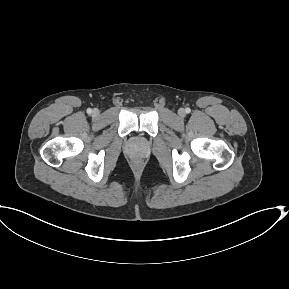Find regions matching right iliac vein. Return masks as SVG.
Listing matches in <instances>:
<instances>
[{
    "mask_svg": "<svg viewBox=\"0 0 289 289\" xmlns=\"http://www.w3.org/2000/svg\"><path fill=\"white\" fill-rule=\"evenodd\" d=\"M92 114H93V116H98L99 115V110L98 109H94L93 111H92Z\"/></svg>",
    "mask_w": 289,
    "mask_h": 289,
    "instance_id": "obj_1",
    "label": "right iliac vein"
}]
</instances>
